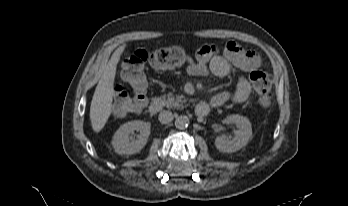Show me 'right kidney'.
<instances>
[{
    "instance_id": "right-kidney-1",
    "label": "right kidney",
    "mask_w": 348,
    "mask_h": 206,
    "mask_svg": "<svg viewBox=\"0 0 348 206\" xmlns=\"http://www.w3.org/2000/svg\"><path fill=\"white\" fill-rule=\"evenodd\" d=\"M150 127V123L139 120L130 121L121 125L112 139V146L115 152L120 155L138 153L147 143L150 135ZM134 131L139 132L136 140L130 136Z\"/></svg>"
}]
</instances>
